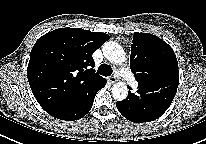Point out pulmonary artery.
<instances>
[{
    "label": "pulmonary artery",
    "mask_w": 206,
    "mask_h": 144,
    "mask_svg": "<svg viewBox=\"0 0 206 144\" xmlns=\"http://www.w3.org/2000/svg\"><path fill=\"white\" fill-rule=\"evenodd\" d=\"M121 73L125 76V78H127V80L130 82V84L134 88H137V82L134 81V79L132 77H130L129 74L126 71L123 70Z\"/></svg>",
    "instance_id": "1"
}]
</instances>
